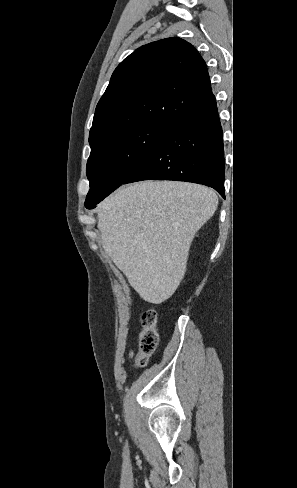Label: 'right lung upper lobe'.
<instances>
[{"mask_svg": "<svg viewBox=\"0 0 297 488\" xmlns=\"http://www.w3.org/2000/svg\"><path fill=\"white\" fill-rule=\"evenodd\" d=\"M214 101L206 63L190 43L172 37L144 45L112 74L95 110L89 144L135 125L171 127Z\"/></svg>", "mask_w": 297, "mask_h": 488, "instance_id": "obj_1", "label": "right lung upper lobe"}]
</instances>
